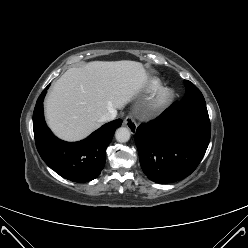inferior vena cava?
Here are the masks:
<instances>
[{
	"label": "inferior vena cava",
	"mask_w": 248,
	"mask_h": 248,
	"mask_svg": "<svg viewBox=\"0 0 248 248\" xmlns=\"http://www.w3.org/2000/svg\"><path fill=\"white\" fill-rule=\"evenodd\" d=\"M116 116H117V110L111 109L100 118V121L101 122H109V121L114 120L116 118Z\"/></svg>",
	"instance_id": "602c4592"
}]
</instances>
